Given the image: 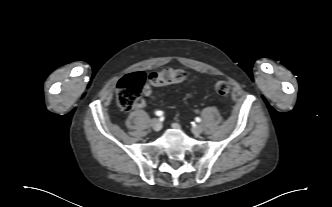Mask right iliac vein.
Instances as JSON below:
<instances>
[{"instance_id":"obj_1","label":"right iliac vein","mask_w":332,"mask_h":207,"mask_svg":"<svg viewBox=\"0 0 332 207\" xmlns=\"http://www.w3.org/2000/svg\"><path fill=\"white\" fill-rule=\"evenodd\" d=\"M151 127L155 130V131H159L162 127V124L160 123V121L156 118L152 119L150 121Z\"/></svg>"}]
</instances>
